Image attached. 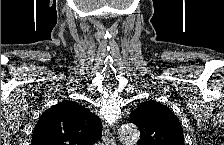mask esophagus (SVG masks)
<instances>
[{
	"label": "esophagus",
	"mask_w": 224,
	"mask_h": 145,
	"mask_svg": "<svg viewBox=\"0 0 224 145\" xmlns=\"http://www.w3.org/2000/svg\"><path fill=\"white\" fill-rule=\"evenodd\" d=\"M103 141L106 145H115L116 141L107 124L103 125Z\"/></svg>",
	"instance_id": "34e87169"
}]
</instances>
